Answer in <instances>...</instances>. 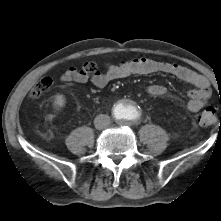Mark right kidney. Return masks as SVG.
<instances>
[{
  "label": "right kidney",
  "instance_id": "1",
  "mask_svg": "<svg viewBox=\"0 0 221 221\" xmlns=\"http://www.w3.org/2000/svg\"><path fill=\"white\" fill-rule=\"evenodd\" d=\"M66 103V98L62 94H58L55 96L54 101H53V106L55 110L59 111L61 108L65 106Z\"/></svg>",
  "mask_w": 221,
  "mask_h": 221
}]
</instances>
